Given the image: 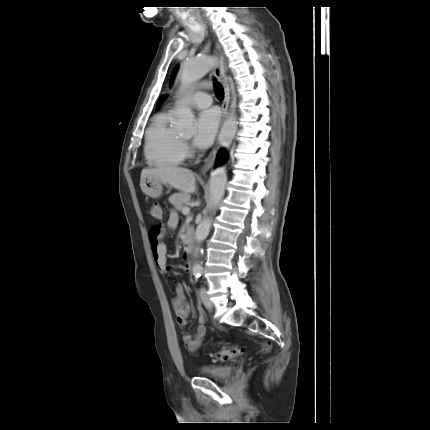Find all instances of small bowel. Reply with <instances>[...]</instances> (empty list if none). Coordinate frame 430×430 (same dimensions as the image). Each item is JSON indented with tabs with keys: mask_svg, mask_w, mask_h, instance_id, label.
Segmentation results:
<instances>
[{
	"mask_svg": "<svg viewBox=\"0 0 430 430\" xmlns=\"http://www.w3.org/2000/svg\"><path fill=\"white\" fill-rule=\"evenodd\" d=\"M178 224V216L175 212H171L167 227L174 229ZM166 236V228L162 225H153L148 232V239L150 248L153 256V260L158 271L165 275L169 270L170 266L167 264V248L164 243ZM184 271L189 270L187 264L181 267ZM172 307L176 314V322L180 327H185L187 319L191 313V307L187 303L186 294L184 288L181 285L175 287V296L172 299ZM206 334L205 319L203 315L198 318V326L192 335L185 334L183 337V343L185 349L191 353L196 354L202 345L204 336Z\"/></svg>",
	"mask_w": 430,
	"mask_h": 430,
	"instance_id": "small-bowel-1",
	"label": "small bowel"
}]
</instances>
